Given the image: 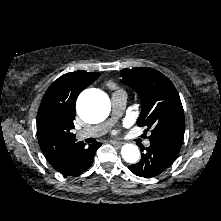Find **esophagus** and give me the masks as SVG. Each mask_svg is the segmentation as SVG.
I'll return each mask as SVG.
<instances>
[{"label":"esophagus","instance_id":"obj_1","mask_svg":"<svg viewBox=\"0 0 221 221\" xmlns=\"http://www.w3.org/2000/svg\"><path fill=\"white\" fill-rule=\"evenodd\" d=\"M111 144H114L116 146H121L123 144V142H121V141H111Z\"/></svg>","mask_w":221,"mask_h":221}]
</instances>
